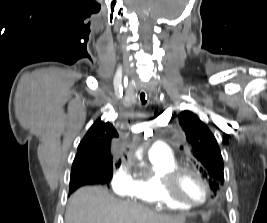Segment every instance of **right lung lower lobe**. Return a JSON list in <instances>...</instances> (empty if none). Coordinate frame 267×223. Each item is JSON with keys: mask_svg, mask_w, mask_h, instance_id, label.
Listing matches in <instances>:
<instances>
[{"mask_svg": "<svg viewBox=\"0 0 267 223\" xmlns=\"http://www.w3.org/2000/svg\"><path fill=\"white\" fill-rule=\"evenodd\" d=\"M111 178L106 177L103 174H87L80 173L71 176L70 178V189L69 192L72 193L78 187L87 184H107Z\"/></svg>", "mask_w": 267, "mask_h": 223, "instance_id": "obj_1", "label": "right lung lower lobe"}]
</instances>
